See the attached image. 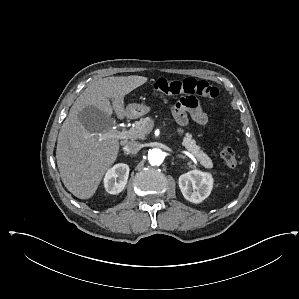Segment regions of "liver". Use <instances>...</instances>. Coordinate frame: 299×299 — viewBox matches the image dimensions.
Segmentation results:
<instances>
[{
	"label": "liver",
	"mask_w": 299,
	"mask_h": 299,
	"mask_svg": "<svg viewBox=\"0 0 299 299\" xmlns=\"http://www.w3.org/2000/svg\"><path fill=\"white\" fill-rule=\"evenodd\" d=\"M147 80L137 75L93 80L74 102L58 135L56 159L62 182L75 197L91 198L116 161L119 140H99L97 134L111 130L113 110L119 119L127 116L124 97Z\"/></svg>",
	"instance_id": "liver-1"
}]
</instances>
